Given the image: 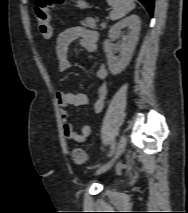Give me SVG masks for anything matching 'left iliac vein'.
<instances>
[{
	"label": "left iliac vein",
	"instance_id": "1",
	"mask_svg": "<svg viewBox=\"0 0 188 213\" xmlns=\"http://www.w3.org/2000/svg\"><path fill=\"white\" fill-rule=\"evenodd\" d=\"M126 143H127V138L126 136H122L119 140V143L117 145L115 154L112 158V160L110 162H108L107 164L101 166L97 171H96V175L98 174H102L104 172H106L107 170H109L111 168V166L115 163V161L121 156V154L124 152L125 147H126Z\"/></svg>",
	"mask_w": 188,
	"mask_h": 213
}]
</instances>
